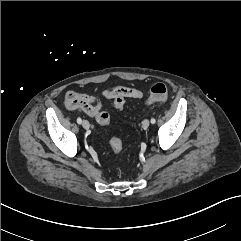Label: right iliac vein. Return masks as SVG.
<instances>
[{
    "mask_svg": "<svg viewBox=\"0 0 241 241\" xmlns=\"http://www.w3.org/2000/svg\"><path fill=\"white\" fill-rule=\"evenodd\" d=\"M82 126H83L84 129H89L90 123H89L87 120H84V121L82 122Z\"/></svg>",
    "mask_w": 241,
    "mask_h": 241,
    "instance_id": "right-iliac-vein-1",
    "label": "right iliac vein"
}]
</instances>
